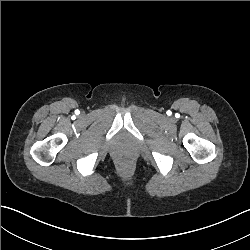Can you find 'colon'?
I'll list each match as a JSON object with an SVG mask.
<instances>
[{
	"label": "colon",
	"instance_id": "obj_1",
	"mask_svg": "<svg viewBox=\"0 0 250 250\" xmlns=\"http://www.w3.org/2000/svg\"><path fill=\"white\" fill-rule=\"evenodd\" d=\"M136 171V162L133 159H122L118 162L117 172L120 176L133 175Z\"/></svg>",
	"mask_w": 250,
	"mask_h": 250
}]
</instances>
